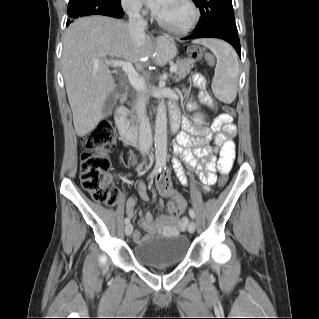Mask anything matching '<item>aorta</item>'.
<instances>
[{
	"instance_id": "aorta-1",
	"label": "aorta",
	"mask_w": 319,
	"mask_h": 319,
	"mask_svg": "<svg viewBox=\"0 0 319 319\" xmlns=\"http://www.w3.org/2000/svg\"><path fill=\"white\" fill-rule=\"evenodd\" d=\"M154 142L156 165L164 166L167 158V114L163 99L157 107Z\"/></svg>"
}]
</instances>
